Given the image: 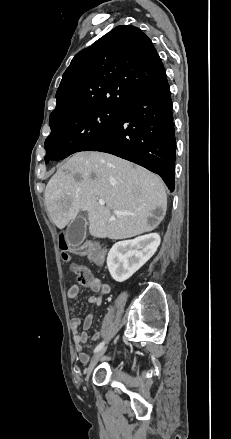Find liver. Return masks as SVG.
I'll return each instance as SVG.
<instances>
[{
	"label": "liver",
	"instance_id": "1",
	"mask_svg": "<svg viewBox=\"0 0 231 439\" xmlns=\"http://www.w3.org/2000/svg\"><path fill=\"white\" fill-rule=\"evenodd\" d=\"M44 197L48 215L59 229L85 211L90 234L113 240L153 230L167 209L165 184L158 175L94 151L78 152L59 166Z\"/></svg>",
	"mask_w": 231,
	"mask_h": 439
}]
</instances>
